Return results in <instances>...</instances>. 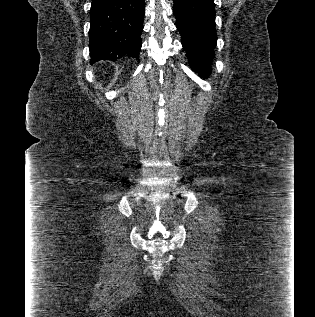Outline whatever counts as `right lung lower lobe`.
I'll use <instances>...</instances> for the list:
<instances>
[{
  "label": "right lung lower lobe",
  "instance_id": "98d812e1",
  "mask_svg": "<svg viewBox=\"0 0 315 317\" xmlns=\"http://www.w3.org/2000/svg\"><path fill=\"white\" fill-rule=\"evenodd\" d=\"M145 13L144 0H93L90 9L91 63L139 58Z\"/></svg>",
  "mask_w": 315,
  "mask_h": 317
}]
</instances>
